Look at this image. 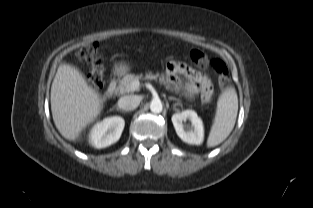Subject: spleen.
<instances>
[{"mask_svg": "<svg viewBox=\"0 0 313 208\" xmlns=\"http://www.w3.org/2000/svg\"><path fill=\"white\" fill-rule=\"evenodd\" d=\"M238 112V97L234 88H229L219 97L215 120L207 139V146L222 143L232 132Z\"/></svg>", "mask_w": 313, "mask_h": 208, "instance_id": "spleen-1", "label": "spleen"}]
</instances>
